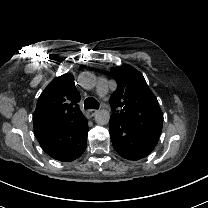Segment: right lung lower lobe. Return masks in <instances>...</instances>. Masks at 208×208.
Here are the masks:
<instances>
[{"label":"right lung lower lobe","mask_w":208,"mask_h":208,"mask_svg":"<svg viewBox=\"0 0 208 208\" xmlns=\"http://www.w3.org/2000/svg\"><path fill=\"white\" fill-rule=\"evenodd\" d=\"M88 123L83 116L67 127L35 133L41 148L59 161H73L86 149Z\"/></svg>","instance_id":"obj_1"}]
</instances>
